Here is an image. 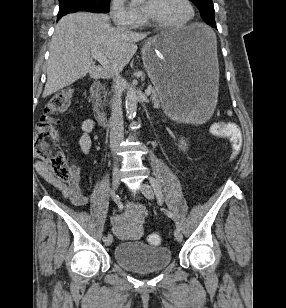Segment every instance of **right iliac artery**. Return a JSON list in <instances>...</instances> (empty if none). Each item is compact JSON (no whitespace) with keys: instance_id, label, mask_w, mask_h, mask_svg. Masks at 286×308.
Returning <instances> with one entry per match:
<instances>
[{"instance_id":"1","label":"right iliac artery","mask_w":286,"mask_h":308,"mask_svg":"<svg viewBox=\"0 0 286 308\" xmlns=\"http://www.w3.org/2000/svg\"><path fill=\"white\" fill-rule=\"evenodd\" d=\"M111 195H112V198L114 199V201L116 202V204H117V206H118V207H117L118 210H120V211L123 210V208H124V207H123V206H124L123 203H121V201L117 199V196H115V195L112 193V191H111ZM105 239H106V236L103 237V241H105Z\"/></svg>"}]
</instances>
